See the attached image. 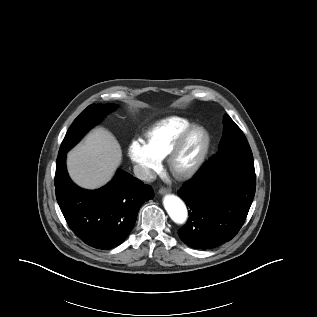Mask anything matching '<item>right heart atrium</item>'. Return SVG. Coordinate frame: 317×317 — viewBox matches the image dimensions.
Segmentation results:
<instances>
[{"label": "right heart atrium", "mask_w": 317, "mask_h": 317, "mask_svg": "<svg viewBox=\"0 0 317 317\" xmlns=\"http://www.w3.org/2000/svg\"><path fill=\"white\" fill-rule=\"evenodd\" d=\"M128 151L136 174L140 179L150 180L154 173L160 169L161 159L151 151L143 140L133 139Z\"/></svg>", "instance_id": "right-heart-atrium-1"}]
</instances>
